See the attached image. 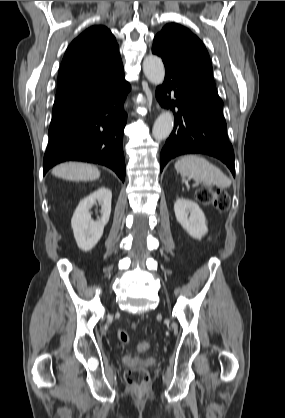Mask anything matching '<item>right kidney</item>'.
<instances>
[{"mask_svg": "<svg viewBox=\"0 0 285 418\" xmlns=\"http://www.w3.org/2000/svg\"><path fill=\"white\" fill-rule=\"evenodd\" d=\"M111 200L110 189L101 187L81 200L77 206L71 226L76 243L82 251L93 249L102 237L104 226L108 223L111 213ZM97 203L101 205V218L94 221L89 210Z\"/></svg>", "mask_w": 285, "mask_h": 418, "instance_id": "ca27d5eb", "label": "right kidney"}]
</instances>
